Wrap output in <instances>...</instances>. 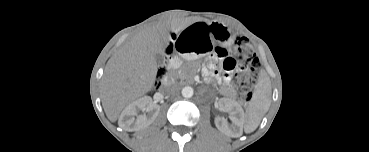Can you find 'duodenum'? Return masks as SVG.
I'll list each match as a JSON object with an SVG mask.
<instances>
[{"instance_id": "duodenum-1", "label": "duodenum", "mask_w": 369, "mask_h": 152, "mask_svg": "<svg viewBox=\"0 0 369 152\" xmlns=\"http://www.w3.org/2000/svg\"><path fill=\"white\" fill-rule=\"evenodd\" d=\"M164 81H165L166 83L170 82V78H169V76H166V78L164 79Z\"/></svg>"}]
</instances>
